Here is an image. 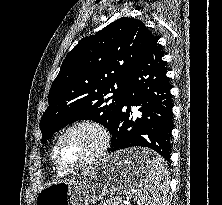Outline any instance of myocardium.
<instances>
[{
    "instance_id": "1",
    "label": "myocardium",
    "mask_w": 222,
    "mask_h": 205,
    "mask_svg": "<svg viewBox=\"0 0 222 205\" xmlns=\"http://www.w3.org/2000/svg\"><path fill=\"white\" fill-rule=\"evenodd\" d=\"M78 128H90L94 130L99 138H100V143L98 148L94 153H92L90 156H88L86 159H84L82 162L71 166V167H66L60 164L57 158V149L61 141L73 130L78 129ZM110 144V135L106 127L94 120H80L76 121L73 124L69 125L57 138L55 141L52 152H51V158L52 162L55 165V167L60 170L63 173H72L74 171L80 170L82 168H85L96 161H98L102 156L106 153L108 147Z\"/></svg>"
}]
</instances>
